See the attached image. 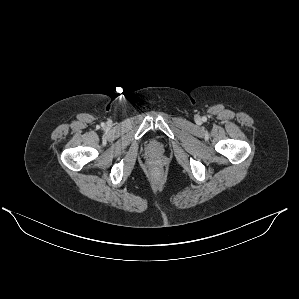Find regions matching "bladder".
Listing matches in <instances>:
<instances>
[{
    "label": "bladder",
    "instance_id": "bladder-1",
    "mask_svg": "<svg viewBox=\"0 0 299 299\" xmlns=\"http://www.w3.org/2000/svg\"><path fill=\"white\" fill-rule=\"evenodd\" d=\"M146 147L148 152L152 154H160L163 152V145L155 138H151Z\"/></svg>",
    "mask_w": 299,
    "mask_h": 299
}]
</instances>
